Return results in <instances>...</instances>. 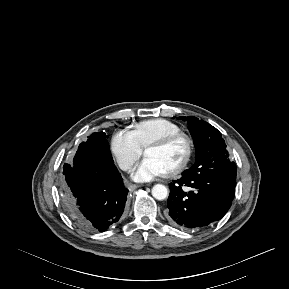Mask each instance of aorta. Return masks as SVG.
Returning a JSON list of instances; mask_svg holds the SVG:
<instances>
[{"label": "aorta", "mask_w": 289, "mask_h": 289, "mask_svg": "<svg viewBox=\"0 0 289 289\" xmlns=\"http://www.w3.org/2000/svg\"><path fill=\"white\" fill-rule=\"evenodd\" d=\"M152 196L157 200H164L168 196V189L162 184H156L152 188Z\"/></svg>", "instance_id": "obj_1"}]
</instances>
